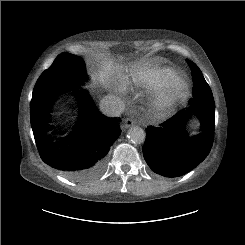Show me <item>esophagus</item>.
Here are the masks:
<instances>
[{"label":"esophagus","instance_id":"esophagus-1","mask_svg":"<svg viewBox=\"0 0 245 245\" xmlns=\"http://www.w3.org/2000/svg\"><path fill=\"white\" fill-rule=\"evenodd\" d=\"M123 125H124L125 128H129V127L134 126L135 122L132 119L127 118V119L124 120Z\"/></svg>","mask_w":245,"mask_h":245}]
</instances>
